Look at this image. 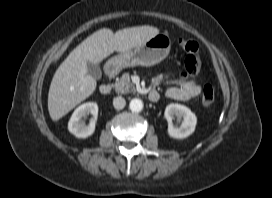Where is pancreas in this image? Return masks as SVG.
<instances>
[{
  "label": "pancreas",
  "instance_id": "cf45deb5",
  "mask_svg": "<svg viewBox=\"0 0 272 198\" xmlns=\"http://www.w3.org/2000/svg\"><path fill=\"white\" fill-rule=\"evenodd\" d=\"M117 93L126 94L129 92H136L135 86L130 80L129 73H124L114 84Z\"/></svg>",
  "mask_w": 272,
  "mask_h": 198
}]
</instances>
